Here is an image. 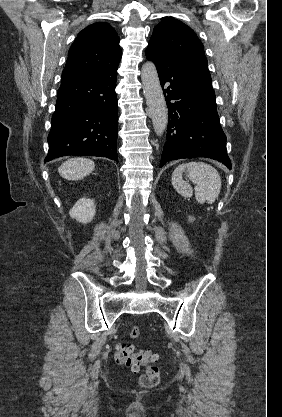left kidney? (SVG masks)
I'll return each mask as SVG.
<instances>
[{"instance_id": "obj_1", "label": "left kidney", "mask_w": 282, "mask_h": 417, "mask_svg": "<svg viewBox=\"0 0 282 417\" xmlns=\"http://www.w3.org/2000/svg\"><path fill=\"white\" fill-rule=\"evenodd\" d=\"M188 221H189V223H194L195 217H188Z\"/></svg>"}]
</instances>
